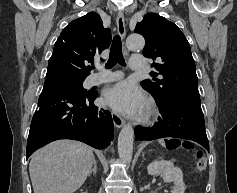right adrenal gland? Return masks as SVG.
I'll return each instance as SVG.
<instances>
[{"instance_id":"right-adrenal-gland-1","label":"right adrenal gland","mask_w":237,"mask_h":193,"mask_svg":"<svg viewBox=\"0 0 237 193\" xmlns=\"http://www.w3.org/2000/svg\"><path fill=\"white\" fill-rule=\"evenodd\" d=\"M92 172H93L94 175H96V173H97V163H96V160H94V162H93V168H92V170L89 172L88 176H90Z\"/></svg>"}]
</instances>
